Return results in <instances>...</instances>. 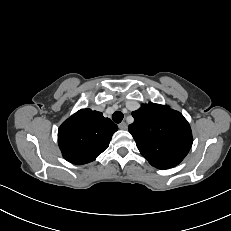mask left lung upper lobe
Here are the masks:
<instances>
[{
	"mask_svg": "<svg viewBox=\"0 0 231 231\" xmlns=\"http://www.w3.org/2000/svg\"><path fill=\"white\" fill-rule=\"evenodd\" d=\"M132 116L134 122L129 125V132L152 166L172 168L188 154L193 137L189 123L180 112L149 103L142 104Z\"/></svg>",
	"mask_w": 231,
	"mask_h": 231,
	"instance_id": "1",
	"label": "left lung upper lobe"
}]
</instances>
